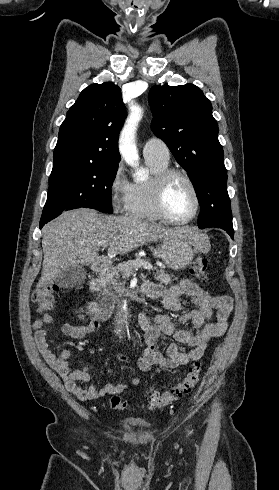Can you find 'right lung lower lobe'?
Masks as SVG:
<instances>
[{
	"mask_svg": "<svg viewBox=\"0 0 279 490\" xmlns=\"http://www.w3.org/2000/svg\"><path fill=\"white\" fill-rule=\"evenodd\" d=\"M47 223L46 221H40V229L44 226V224Z\"/></svg>",
	"mask_w": 279,
	"mask_h": 490,
	"instance_id": "1",
	"label": "right lung lower lobe"
}]
</instances>
